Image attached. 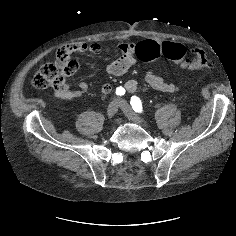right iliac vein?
I'll use <instances>...</instances> for the list:
<instances>
[{"label": "right iliac vein", "mask_w": 236, "mask_h": 236, "mask_svg": "<svg viewBox=\"0 0 236 236\" xmlns=\"http://www.w3.org/2000/svg\"><path fill=\"white\" fill-rule=\"evenodd\" d=\"M118 102L117 101H112L107 108V116L109 119L113 118V116L117 113L118 111Z\"/></svg>", "instance_id": "obj_1"}]
</instances>
